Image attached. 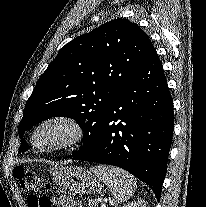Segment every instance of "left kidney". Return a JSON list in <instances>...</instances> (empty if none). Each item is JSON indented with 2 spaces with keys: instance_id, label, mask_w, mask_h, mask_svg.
<instances>
[{
  "instance_id": "5707ae66",
  "label": "left kidney",
  "mask_w": 206,
  "mask_h": 207,
  "mask_svg": "<svg viewBox=\"0 0 206 207\" xmlns=\"http://www.w3.org/2000/svg\"><path fill=\"white\" fill-rule=\"evenodd\" d=\"M123 207H146V203L144 200H136L133 202H129L128 204L124 205Z\"/></svg>"
}]
</instances>
